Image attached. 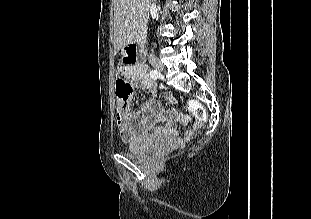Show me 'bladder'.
Returning a JSON list of instances; mask_svg holds the SVG:
<instances>
[{"instance_id":"bladder-1","label":"bladder","mask_w":311,"mask_h":219,"mask_svg":"<svg viewBox=\"0 0 311 219\" xmlns=\"http://www.w3.org/2000/svg\"><path fill=\"white\" fill-rule=\"evenodd\" d=\"M152 152V146L145 145L142 141H133L129 144L126 156L129 158H141Z\"/></svg>"}]
</instances>
